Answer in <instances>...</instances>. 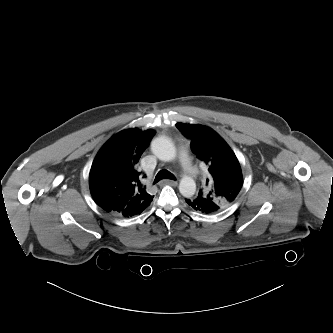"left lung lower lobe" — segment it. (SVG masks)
<instances>
[{"label":"left lung lower lobe","mask_w":333,"mask_h":333,"mask_svg":"<svg viewBox=\"0 0 333 333\" xmlns=\"http://www.w3.org/2000/svg\"><path fill=\"white\" fill-rule=\"evenodd\" d=\"M186 203L196 211L203 213H214L219 211V206L212 200H208L204 197L197 196L185 199Z\"/></svg>","instance_id":"left-lung-lower-lobe-1"}]
</instances>
